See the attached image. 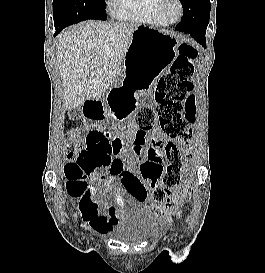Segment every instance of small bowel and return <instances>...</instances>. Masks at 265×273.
<instances>
[{"instance_id": "small-bowel-1", "label": "small bowel", "mask_w": 265, "mask_h": 273, "mask_svg": "<svg viewBox=\"0 0 265 273\" xmlns=\"http://www.w3.org/2000/svg\"><path fill=\"white\" fill-rule=\"evenodd\" d=\"M117 96H133V91H112V95L107 101L108 110L119 116L126 117L130 108H135V97ZM84 110V119H90V123H102L105 119L103 107L100 103H86ZM121 122V119H118ZM129 132L136 131V126L129 124ZM75 129H91V124H75ZM113 159L109 169L110 181L100 188L97 193H84L72 198L79 201V209L83 219L91 226L93 230L100 234L111 233L118 221L123 217L124 212L132 207L140 204H149V195L151 191L145 186V183H152V172L157 168L165 166V159H160L148 153L143 161H135L131 156L126 155V151L120 140L112 141ZM138 165H134V164ZM128 164V165H126ZM139 170V174L136 173ZM105 178L104 174L96 173L94 180H102ZM121 182V186L115 184V180ZM145 182V183H143ZM114 197L113 204L104 207L108 197ZM175 206V205H174ZM173 206V207H174ZM154 207L155 213L165 218L173 208Z\"/></svg>"}]
</instances>
